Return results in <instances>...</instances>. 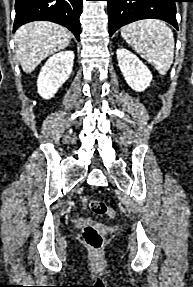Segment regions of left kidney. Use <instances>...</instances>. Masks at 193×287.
<instances>
[{
    "instance_id": "obj_1",
    "label": "left kidney",
    "mask_w": 193,
    "mask_h": 287,
    "mask_svg": "<svg viewBox=\"0 0 193 287\" xmlns=\"http://www.w3.org/2000/svg\"><path fill=\"white\" fill-rule=\"evenodd\" d=\"M119 68L127 84L135 91H144L152 81V74L144 63L127 49H117Z\"/></svg>"
}]
</instances>
